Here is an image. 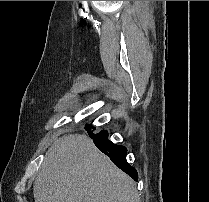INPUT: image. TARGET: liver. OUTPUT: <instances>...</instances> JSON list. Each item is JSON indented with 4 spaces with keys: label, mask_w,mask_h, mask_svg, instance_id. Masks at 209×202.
Returning <instances> with one entry per match:
<instances>
[{
    "label": "liver",
    "mask_w": 209,
    "mask_h": 202,
    "mask_svg": "<svg viewBox=\"0 0 209 202\" xmlns=\"http://www.w3.org/2000/svg\"><path fill=\"white\" fill-rule=\"evenodd\" d=\"M33 194L35 202H139L132 179L80 134L48 149Z\"/></svg>",
    "instance_id": "1"
}]
</instances>
